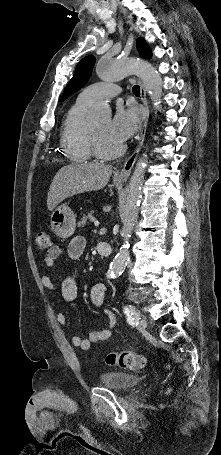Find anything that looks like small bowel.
I'll return each mask as SVG.
<instances>
[{"label": "small bowel", "instance_id": "obj_1", "mask_svg": "<svg viewBox=\"0 0 221 455\" xmlns=\"http://www.w3.org/2000/svg\"><path fill=\"white\" fill-rule=\"evenodd\" d=\"M86 248V241L81 236L74 237L69 243L66 249H63L59 246H53L49 251H47L44 258V265L51 270L54 265V261L58 258L66 256L70 260L79 259L84 253ZM42 285L52 291H59L66 302H72L77 296V285L73 276H67L61 283L60 286H56L51 278L47 274H42L40 277ZM106 287L103 283L99 282L93 285L90 291V300L91 304L96 309H102L104 303ZM104 314L108 320L109 328L103 330H97L90 333L88 338H81L78 335H74L71 338V342L74 346L81 348L82 350H89L93 343H98L110 338L112 334V327L116 323L115 314L109 310L104 309ZM57 322L61 326L66 325L65 316L57 312L55 315Z\"/></svg>", "mask_w": 221, "mask_h": 455}]
</instances>
